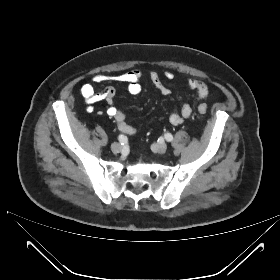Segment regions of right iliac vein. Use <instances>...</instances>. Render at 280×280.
Returning <instances> with one entry per match:
<instances>
[{"label":"right iliac vein","instance_id":"63e3f726","mask_svg":"<svg viewBox=\"0 0 280 280\" xmlns=\"http://www.w3.org/2000/svg\"><path fill=\"white\" fill-rule=\"evenodd\" d=\"M121 145L119 143H113L111 145V150L114 152V153H119L121 151Z\"/></svg>","mask_w":280,"mask_h":280}]
</instances>
